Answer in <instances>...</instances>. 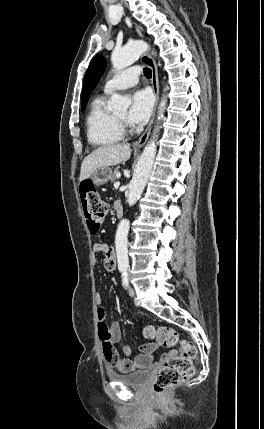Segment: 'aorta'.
I'll return each mask as SVG.
<instances>
[{"mask_svg": "<svg viewBox=\"0 0 264 429\" xmlns=\"http://www.w3.org/2000/svg\"><path fill=\"white\" fill-rule=\"evenodd\" d=\"M149 48L148 44L141 40H136L129 42L124 47L116 48L113 50L111 55L112 65L115 70L124 69L132 65L140 55ZM131 103L130 98L121 96L117 93L111 96L109 103V108L113 111H120L127 109ZM166 105V100L163 98L159 104L158 110V120L163 118L164 108ZM159 130V127L156 126L154 130V135L152 139L145 146L140 159L137 162L133 178L129 184V194H128V204L133 206L140 195L142 194L147 180L150 176L154 158L156 155V139L158 135L156 134ZM130 223L127 219H122L118 225L116 236H115V246L117 254L118 268L127 269L129 266L128 259V233H129Z\"/></svg>", "mask_w": 264, "mask_h": 429, "instance_id": "1", "label": "aorta"}]
</instances>
